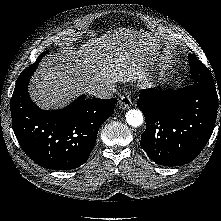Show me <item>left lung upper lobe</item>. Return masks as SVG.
<instances>
[{
	"instance_id": "5c2ea615",
	"label": "left lung upper lobe",
	"mask_w": 221,
	"mask_h": 221,
	"mask_svg": "<svg viewBox=\"0 0 221 221\" xmlns=\"http://www.w3.org/2000/svg\"><path fill=\"white\" fill-rule=\"evenodd\" d=\"M189 64L193 83H202L210 89L216 90L211 72L193 54H189Z\"/></svg>"
}]
</instances>
